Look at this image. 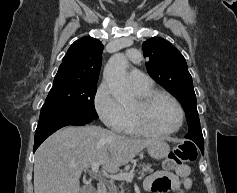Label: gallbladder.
<instances>
[{
    "mask_svg": "<svg viewBox=\"0 0 237 193\" xmlns=\"http://www.w3.org/2000/svg\"><path fill=\"white\" fill-rule=\"evenodd\" d=\"M82 193H93V189L91 186H83Z\"/></svg>",
    "mask_w": 237,
    "mask_h": 193,
    "instance_id": "1",
    "label": "gallbladder"
}]
</instances>
